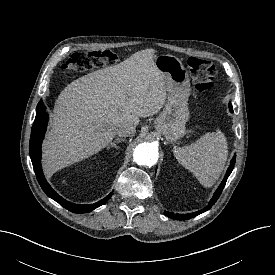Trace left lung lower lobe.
I'll return each instance as SVG.
<instances>
[{
	"label": "left lung lower lobe",
	"mask_w": 275,
	"mask_h": 275,
	"mask_svg": "<svg viewBox=\"0 0 275 275\" xmlns=\"http://www.w3.org/2000/svg\"><path fill=\"white\" fill-rule=\"evenodd\" d=\"M235 159H236V155H234L231 163H230V166L227 170V173L222 181V183L220 184V186L218 187V189L216 190V192L214 193L212 199L210 200L209 204L202 210L200 211H197L195 213H190V214H173V213H169V212H165L164 214L170 218H173V219H178V220H182V219H190L192 217H195L207 210H209L214 204L215 202L217 201V199L219 198L220 194L222 193V190L224 189L225 187V184H226V181H227V178L229 177V175L231 174L233 168H234V165H235Z\"/></svg>",
	"instance_id": "obj_1"
}]
</instances>
